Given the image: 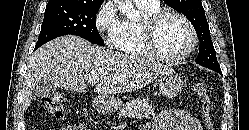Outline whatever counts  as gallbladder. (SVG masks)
<instances>
[{
	"label": "gallbladder",
	"mask_w": 249,
	"mask_h": 130,
	"mask_svg": "<svg viewBox=\"0 0 249 130\" xmlns=\"http://www.w3.org/2000/svg\"><path fill=\"white\" fill-rule=\"evenodd\" d=\"M56 92L55 87L53 84L45 82V81H39L34 89L32 97L35 98H46L54 95Z\"/></svg>",
	"instance_id": "1"
}]
</instances>
